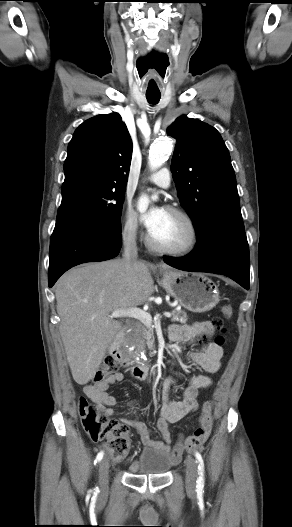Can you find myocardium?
Masks as SVG:
<instances>
[{"instance_id":"1","label":"myocardium","mask_w":292,"mask_h":527,"mask_svg":"<svg viewBox=\"0 0 292 527\" xmlns=\"http://www.w3.org/2000/svg\"><path fill=\"white\" fill-rule=\"evenodd\" d=\"M166 212L178 216L185 222L189 231L187 241L180 246H165L155 242L150 233H148L146 236L147 245L156 252L168 255L182 256L191 253L196 248L199 241V230L195 220L189 213L177 207H167Z\"/></svg>"}]
</instances>
